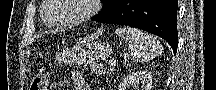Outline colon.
<instances>
[{"instance_id": "obj_1", "label": "colon", "mask_w": 216, "mask_h": 90, "mask_svg": "<svg viewBox=\"0 0 216 90\" xmlns=\"http://www.w3.org/2000/svg\"><path fill=\"white\" fill-rule=\"evenodd\" d=\"M41 58H44V52H41ZM31 90H47L48 89V72L46 68L41 67L34 75L31 82Z\"/></svg>"}]
</instances>
